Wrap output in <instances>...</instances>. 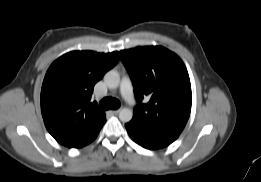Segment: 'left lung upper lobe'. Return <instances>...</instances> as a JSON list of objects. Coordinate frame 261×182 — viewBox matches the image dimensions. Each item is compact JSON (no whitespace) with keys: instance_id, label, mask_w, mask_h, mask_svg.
<instances>
[{"instance_id":"left-lung-upper-lobe-1","label":"left lung upper lobe","mask_w":261,"mask_h":182,"mask_svg":"<svg viewBox=\"0 0 261 182\" xmlns=\"http://www.w3.org/2000/svg\"><path fill=\"white\" fill-rule=\"evenodd\" d=\"M138 105L131 123L140 131L178 138L191 111V84L182 60L161 46L120 51ZM144 97L150 100L143 104Z\"/></svg>"}]
</instances>
